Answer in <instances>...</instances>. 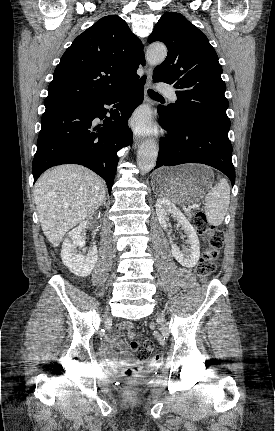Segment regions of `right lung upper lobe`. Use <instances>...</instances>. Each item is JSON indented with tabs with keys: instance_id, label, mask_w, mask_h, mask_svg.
Segmentation results:
<instances>
[{
	"instance_id": "cb5924a9",
	"label": "right lung upper lobe",
	"mask_w": 275,
	"mask_h": 431,
	"mask_svg": "<svg viewBox=\"0 0 275 431\" xmlns=\"http://www.w3.org/2000/svg\"><path fill=\"white\" fill-rule=\"evenodd\" d=\"M143 47L126 22L106 16L80 34L61 57L45 107L104 97L135 82Z\"/></svg>"
}]
</instances>
